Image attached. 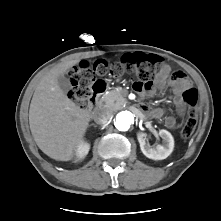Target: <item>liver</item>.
Segmentation results:
<instances>
[{
  "mask_svg": "<svg viewBox=\"0 0 221 221\" xmlns=\"http://www.w3.org/2000/svg\"><path fill=\"white\" fill-rule=\"evenodd\" d=\"M79 60L61 63L38 82L29 109V124L40 150L52 159L71 160L89 126L91 114L71 101L58 85Z\"/></svg>",
  "mask_w": 221,
  "mask_h": 221,
  "instance_id": "obj_1",
  "label": "liver"
}]
</instances>
